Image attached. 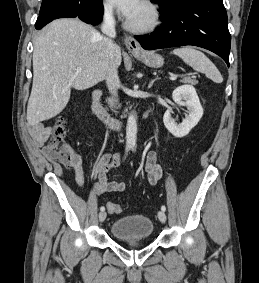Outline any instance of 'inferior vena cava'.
Listing matches in <instances>:
<instances>
[{
	"label": "inferior vena cava",
	"instance_id": "inferior-vena-cava-1",
	"mask_svg": "<svg viewBox=\"0 0 259 283\" xmlns=\"http://www.w3.org/2000/svg\"><path fill=\"white\" fill-rule=\"evenodd\" d=\"M101 31L103 36V45L105 52V69H106V84L111 94L116 97L117 90L120 86V81L117 73V66L114 59V47L113 39L116 36L115 21L112 15V9L105 7L103 22L101 25Z\"/></svg>",
	"mask_w": 259,
	"mask_h": 283
}]
</instances>
